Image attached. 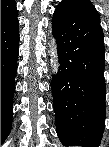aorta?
Wrapping results in <instances>:
<instances>
[{
	"instance_id": "obj_1",
	"label": "aorta",
	"mask_w": 109,
	"mask_h": 147,
	"mask_svg": "<svg viewBox=\"0 0 109 147\" xmlns=\"http://www.w3.org/2000/svg\"><path fill=\"white\" fill-rule=\"evenodd\" d=\"M50 61H51L53 72L56 73L58 70V56H57V49H56L54 42H52V44H51V59H50Z\"/></svg>"
}]
</instances>
